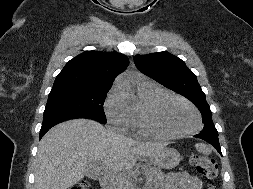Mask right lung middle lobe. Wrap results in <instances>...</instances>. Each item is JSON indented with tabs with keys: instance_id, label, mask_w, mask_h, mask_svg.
<instances>
[{
	"instance_id": "dd1d6c3e",
	"label": "right lung middle lobe",
	"mask_w": 253,
	"mask_h": 189,
	"mask_svg": "<svg viewBox=\"0 0 253 189\" xmlns=\"http://www.w3.org/2000/svg\"><path fill=\"white\" fill-rule=\"evenodd\" d=\"M110 87L52 88L44 119L56 117L89 118L106 123L103 104Z\"/></svg>"
}]
</instances>
